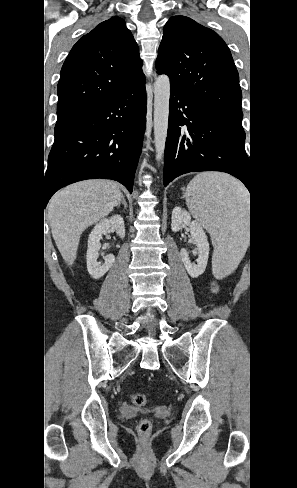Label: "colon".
<instances>
[{
    "label": "colon",
    "instance_id": "colon-1",
    "mask_svg": "<svg viewBox=\"0 0 297 488\" xmlns=\"http://www.w3.org/2000/svg\"><path fill=\"white\" fill-rule=\"evenodd\" d=\"M211 289L213 292L217 293L218 292V285L213 282L211 285ZM131 400L136 406H144L147 404V398L144 394L134 392L131 394ZM151 422L148 419H143L140 424H139V431L142 434H148L151 430Z\"/></svg>",
    "mask_w": 297,
    "mask_h": 488
}]
</instances>
